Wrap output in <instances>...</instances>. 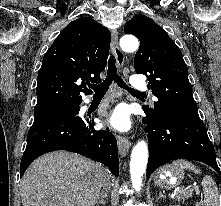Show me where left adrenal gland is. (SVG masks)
<instances>
[{"instance_id":"obj_1","label":"left adrenal gland","mask_w":221,"mask_h":206,"mask_svg":"<svg viewBox=\"0 0 221 206\" xmlns=\"http://www.w3.org/2000/svg\"><path fill=\"white\" fill-rule=\"evenodd\" d=\"M160 198H165V196L162 194V192H159V196L157 197V199H160Z\"/></svg>"}]
</instances>
